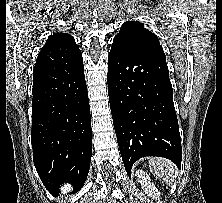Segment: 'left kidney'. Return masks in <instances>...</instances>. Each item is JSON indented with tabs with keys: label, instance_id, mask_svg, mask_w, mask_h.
<instances>
[{
	"label": "left kidney",
	"instance_id": "left-kidney-1",
	"mask_svg": "<svg viewBox=\"0 0 222 203\" xmlns=\"http://www.w3.org/2000/svg\"><path fill=\"white\" fill-rule=\"evenodd\" d=\"M136 176L138 178V181L142 185V188L144 189L145 193L153 198L157 199L160 196V193L158 192L156 186L151 182V179L149 175L142 171V170H136Z\"/></svg>",
	"mask_w": 222,
	"mask_h": 203
}]
</instances>
